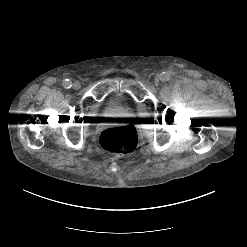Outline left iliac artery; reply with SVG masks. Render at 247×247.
I'll return each instance as SVG.
<instances>
[{
  "label": "left iliac artery",
  "mask_w": 247,
  "mask_h": 247,
  "mask_svg": "<svg viewBox=\"0 0 247 247\" xmlns=\"http://www.w3.org/2000/svg\"><path fill=\"white\" fill-rule=\"evenodd\" d=\"M160 79L161 81L165 82V81H168L170 79V75L166 72H163L161 75H160Z\"/></svg>",
  "instance_id": "44dca946"
}]
</instances>
